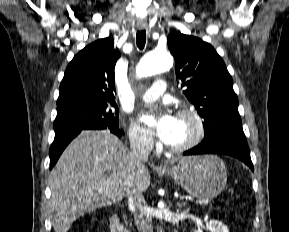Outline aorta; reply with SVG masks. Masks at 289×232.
<instances>
[{
  "label": "aorta",
  "mask_w": 289,
  "mask_h": 232,
  "mask_svg": "<svg viewBox=\"0 0 289 232\" xmlns=\"http://www.w3.org/2000/svg\"><path fill=\"white\" fill-rule=\"evenodd\" d=\"M172 65L173 58L167 51L154 50L142 57L137 67V75L140 78L152 76L169 70Z\"/></svg>",
  "instance_id": "1"
}]
</instances>
